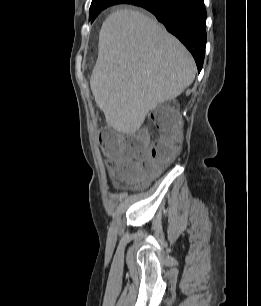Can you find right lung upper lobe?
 <instances>
[{"instance_id":"obj_1","label":"right lung upper lobe","mask_w":261,"mask_h":306,"mask_svg":"<svg viewBox=\"0 0 261 306\" xmlns=\"http://www.w3.org/2000/svg\"><path fill=\"white\" fill-rule=\"evenodd\" d=\"M100 1H105V0H92V3L100 2ZM123 1H126V2H127L128 0H123ZM126 2H125V3H126Z\"/></svg>"}]
</instances>
